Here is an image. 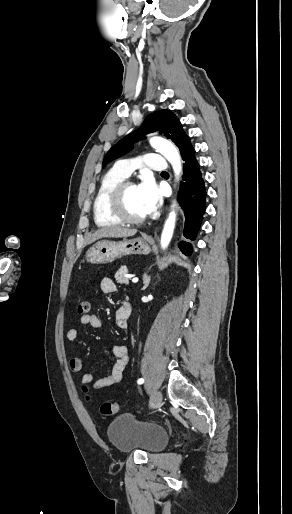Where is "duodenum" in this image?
Masks as SVG:
<instances>
[{
    "label": "duodenum",
    "instance_id": "410a0bca",
    "mask_svg": "<svg viewBox=\"0 0 292 514\" xmlns=\"http://www.w3.org/2000/svg\"><path fill=\"white\" fill-rule=\"evenodd\" d=\"M123 308H124V310L126 311L127 316H129V317H130V315H131V311H132V306H131V304H130V303H128V302H124V303H123Z\"/></svg>",
    "mask_w": 292,
    "mask_h": 514
}]
</instances>
